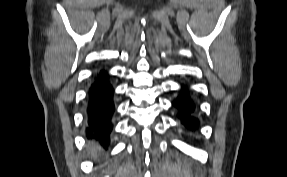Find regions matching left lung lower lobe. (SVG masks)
Instances as JSON below:
<instances>
[{"label": "left lung lower lobe", "instance_id": "0a47b994", "mask_svg": "<svg viewBox=\"0 0 287 177\" xmlns=\"http://www.w3.org/2000/svg\"><path fill=\"white\" fill-rule=\"evenodd\" d=\"M174 106L179 109V119L182 124L189 129H196L198 119L191 114L194 112L195 107L193 101L186 93V86H182V92L179 97L173 102Z\"/></svg>", "mask_w": 287, "mask_h": 177}]
</instances>
